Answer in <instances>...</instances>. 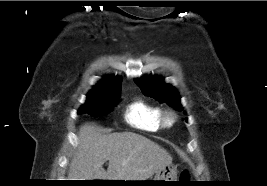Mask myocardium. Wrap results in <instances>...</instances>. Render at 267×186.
I'll return each instance as SVG.
<instances>
[{
    "label": "myocardium",
    "instance_id": "1",
    "mask_svg": "<svg viewBox=\"0 0 267 186\" xmlns=\"http://www.w3.org/2000/svg\"><path fill=\"white\" fill-rule=\"evenodd\" d=\"M177 113L172 109L162 110L160 115V123L163 128H171L177 122Z\"/></svg>",
    "mask_w": 267,
    "mask_h": 186
}]
</instances>
